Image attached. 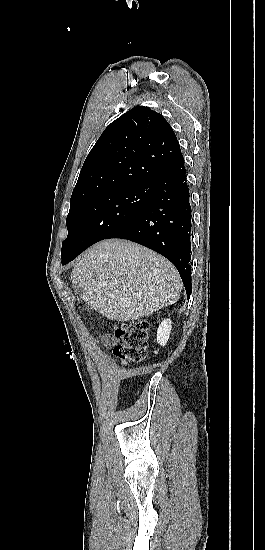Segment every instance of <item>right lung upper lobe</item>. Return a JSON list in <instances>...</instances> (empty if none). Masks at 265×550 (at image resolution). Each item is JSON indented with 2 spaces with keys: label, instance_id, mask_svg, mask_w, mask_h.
Here are the masks:
<instances>
[{
  "label": "right lung upper lobe",
  "instance_id": "1",
  "mask_svg": "<svg viewBox=\"0 0 265 550\" xmlns=\"http://www.w3.org/2000/svg\"><path fill=\"white\" fill-rule=\"evenodd\" d=\"M182 158L164 117L148 107L133 108L112 122L91 149L70 204L129 187L155 186Z\"/></svg>",
  "mask_w": 265,
  "mask_h": 550
}]
</instances>
